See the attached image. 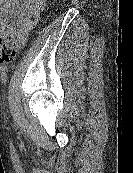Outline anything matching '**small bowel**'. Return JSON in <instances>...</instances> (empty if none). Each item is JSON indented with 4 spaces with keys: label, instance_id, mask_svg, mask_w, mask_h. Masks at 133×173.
I'll return each mask as SVG.
<instances>
[{
    "label": "small bowel",
    "instance_id": "obj_1",
    "mask_svg": "<svg viewBox=\"0 0 133 173\" xmlns=\"http://www.w3.org/2000/svg\"><path fill=\"white\" fill-rule=\"evenodd\" d=\"M46 0H0V23L22 45L35 26Z\"/></svg>",
    "mask_w": 133,
    "mask_h": 173
}]
</instances>
